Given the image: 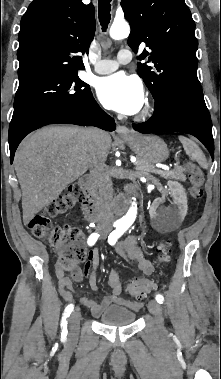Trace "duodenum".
<instances>
[{"label":"duodenum","mask_w":221,"mask_h":379,"mask_svg":"<svg viewBox=\"0 0 221 379\" xmlns=\"http://www.w3.org/2000/svg\"><path fill=\"white\" fill-rule=\"evenodd\" d=\"M80 186L86 192V199L83 203V212L88 221H100L106 212V208L102 205L95 196L92 188V180L90 176H84L80 180ZM128 206V201L125 197H119L112 204V211L116 215L122 214Z\"/></svg>","instance_id":"1"}]
</instances>
